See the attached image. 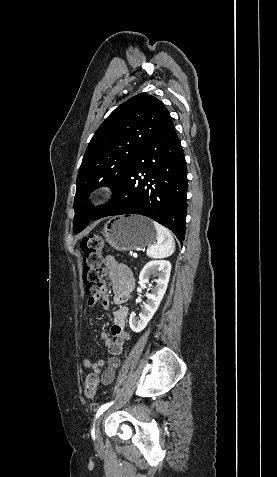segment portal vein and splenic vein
Wrapping results in <instances>:
<instances>
[{
  "label": "portal vein and splenic vein",
  "instance_id": "18ae733b",
  "mask_svg": "<svg viewBox=\"0 0 277 477\" xmlns=\"http://www.w3.org/2000/svg\"><path fill=\"white\" fill-rule=\"evenodd\" d=\"M133 257H134V258H136V257H137V254H136V253H134V254H133Z\"/></svg>",
  "mask_w": 277,
  "mask_h": 477
}]
</instances>
